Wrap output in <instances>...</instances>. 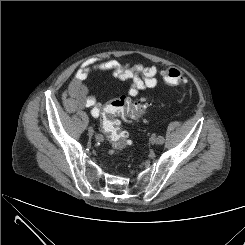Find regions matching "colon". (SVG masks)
<instances>
[{"instance_id":"5ec220e1","label":"colon","mask_w":245,"mask_h":245,"mask_svg":"<svg viewBox=\"0 0 245 245\" xmlns=\"http://www.w3.org/2000/svg\"><path fill=\"white\" fill-rule=\"evenodd\" d=\"M169 85H180L185 82L184 74L177 68H168L163 73ZM148 101L145 98L120 97L105 105L101 124L111 144V154L125 150L129 144V134L120 126L118 117L125 120L141 118L146 112Z\"/></svg>"}]
</instances>
